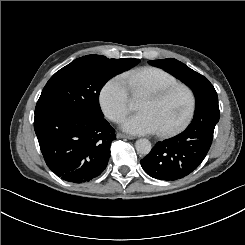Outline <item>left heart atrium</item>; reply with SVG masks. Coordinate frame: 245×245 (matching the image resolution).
Instances as JSON below:
<instances>
[{"instance_id": "1", "label": "left heart atrium", "mask_w": 245, "mask_h": 245, "mask_svg": "<svg viewBox=\"0 0 245 245\" xmlns=\"http://www.w3.org/2000/svg\"><path fill=\"white\" fill-rule=\"evenodd\" d=\"M122 128L130 133L148 134L160 131L158 124L148 112H139L125 119Z\"/></svg>"}]
</instances>
